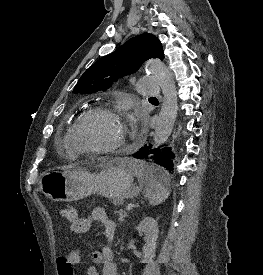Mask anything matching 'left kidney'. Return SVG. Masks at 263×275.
Segmentation results:
<instances>
[{"label": "left kidney", "mask_w": 263, "mask_h": 275, "mask_svg": "<svg viewBox=\"0 0 263 275\" xmlns=\"http://www.w3.org/2000/svg\"><path fill=\"white\" fill-rule=\"evenodd\" d=\"M139 233L145 235V245L143 246L142 263H150L156 255V241L158 238V223L151 217H145L136 227Z\"/></svg>", "instance_id": "obj_1"}]
</instances>
